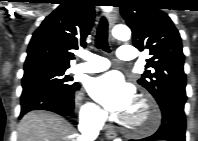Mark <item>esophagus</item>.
Listing matches in <instances>:
<instances>
[{"label":"esophagus","instance_id":"1","mask_svg":"<svg viewBox=\"0 0 198 141\" xmlns=\"http://www.w3.org/2000/svg\"><path fill=\"white\" fill-rule=\"evenodd\" d=\"M116 20H117V13L116 11H112L109 14V39L111 42H114V38L112 36V29L116 23ZM105 129H106V136L108 139H113L116 137L117 133L114 126L108 124L105 126Z\"/></svg>","mask_w":198,"mask_h":141}]
</instances>
